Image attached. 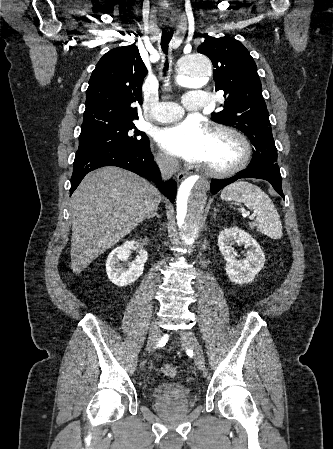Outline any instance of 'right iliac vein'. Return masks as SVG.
Wrapping results in <instances>:
<instances>
[{
  "label": "right iliac vein",
  "mask_w": 333,
  "mask_h": 449,
  "mask_svg": "<svg viewBox=\"0 0 333 449\" xmlns=\"http://www.w3.org/2000/svg\"><path fill=\"white\" fill-rule=\"evenodd\" d=\"M161 332L158 326L152 325L149 332L147 351H151L152 347L160 340Z\"/></svg>",
  "instance_id": "63e3f726"
}]
</instances>
